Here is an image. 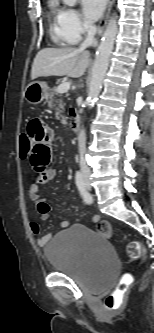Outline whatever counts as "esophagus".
<instances>
[{
    "instance_id": "obj_1",
    "label": "esophagus",
    "mask_w": 154,
    "mask_h": 333,
    "mask_svg": "<svg viewBox=\"0 0 154 333\" xmlns=\"http://www.w3.org/2000/svg\"><path fill=\"white\" fill-rule=\"evenodd\" d=\"M113 1L114 0H108L106 10H105V12L103 14V17H102V19H101V21L99 23L98 29H97V37H100L101 34L103 33V30H104V28L106 26V23L108 21V18H109L111 9H112Z\"/></svg>"
}]
</instances>
